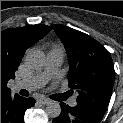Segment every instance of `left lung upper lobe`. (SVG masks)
I'll list each match as a JSON object with an SVG mask.
<instances>
[{
    "instance_id": "obj_1",
    "label": "left lung upper lobe",
    "mask_w": 123,
    "mask_h": 123,
    "mask_svg": "<svg viewBox=\"0 0 123 123\" xmlns=\"http://www.w3.org/2000/svg\"><path fill=\"white\" fill-rule=\"evenodd\" d=\"M52 27L69 55V87L78 90L77 106L103 115L111 98L115 76L110 53L83 32L59 24H52Z\"/></svg>"
}]
</instances>
